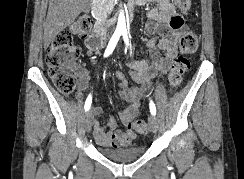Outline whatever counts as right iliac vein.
<instances>
[{"label": "right iliac vein", "instance_id": "63e3f726", "mask_svg": "<svg viewBox=\"0 0 244 179\" xmlns=\"http://www.w3.org/2000/svg\"><path fill=\"white\" fill-rule=\"evenodd\" d=\"M93 118H94L93 117V110L90 109L86 112V114L83 118L84 126L88 132L91 130Z\"/></svg>", "mask_w": 244, "mask_h": 179}]
</instances>
